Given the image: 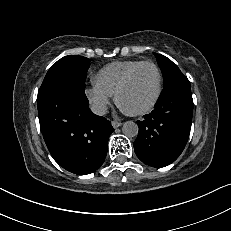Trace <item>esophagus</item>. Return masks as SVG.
I'll return each mask as SVG.
<instances>
[{"label":"esophagus","instance_id":"1","mask_svg":"<svg viewBox=\"0 0 231 231\" xmlns=\"http://www.w3.org/2000/svg\"><path fill=\"white\" fill-rule=\"evenodd\" d=\"M111 124L114 128H118L122 125V123L119 121H112Z\"/></svg>","mask_w":231,"mask_h":231}]
</instances>
